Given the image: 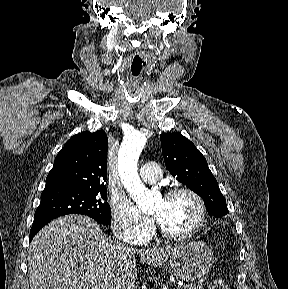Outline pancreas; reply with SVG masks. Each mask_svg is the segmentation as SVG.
<instances>
[{"instance_id":"cf45deb5","label":"pancreas","mask_w":288,"mask_h":289,"mask_svg":"<svg viewBox=\"0 0 288 289\" xmlns=\"http://www.w3.org/2000/svg\"><path fill=\"white\" fill-rule=\"evenodd\" d=\"M182 288L183 289H203V282H198L193 285H184ZM177 289H181V287H178Z\"/></svg>"}]
</instances>
